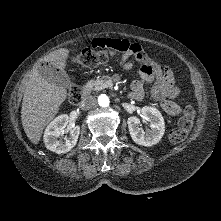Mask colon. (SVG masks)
<instances>
[{
    "instance_id": "5ec220e1",
    "label": "colon",
    "mask_w": 221,
    "mask_h": 221,
    "mask_svg": "<svg viewBox=\"0 0 221 221\" xmlns=\"http://www.w3.org/2000/svg\"><path fill=\"white\" fill-rule=\"evenodd\" d=\"M114 52L115 50L109 47L100 50L85 49L74 57V62L85 67H96L107 62ZM68 98L72 104L78 103L81 99L80 89L74 82L69 89ZM194 114L193 106L191 104L186 105L177 126L169 132L168 137L172 142H181L186 138L192 128Z\"/></svg>"
}]
</instances>
